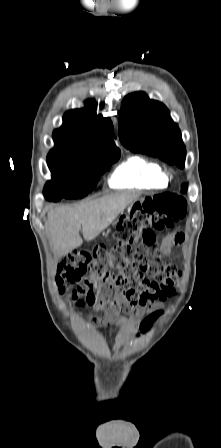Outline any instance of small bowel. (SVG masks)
<instances>
[{
    "label": "small bowel",
    "instance_id": "obj_1",
    "mask_svg": "<svg viewBox=\"0 0 221 448\" xmlns=\"http://www.w3.org/2000/svg\"><path fill=\"white\" fill-rule=\"evenodd\" d=\"M185 241V234L183 232H173L164 237L160 244V250L163 254L170 253L173 246L181 245ZM95 311L100 312L99 316L94 318V323L98 327L107 324H115L119 328V334L114 345L115 350H119L135 332L138 320L137 318L125 319L120 316L121 312L135 311L137 317L145 315V310L140 307H134L126 299L122 289H118L114 296H111V291L106 289L102 292L97 301L94 303Z\"/></svg>",
    "mask_w": 221,
    "mask_h": 448
}]
</instances>
